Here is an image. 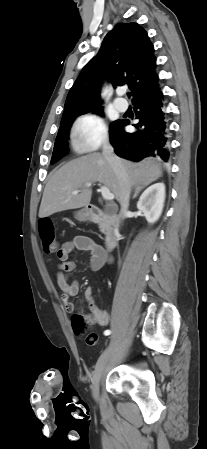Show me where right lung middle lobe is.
Wrapping results in <instances>:
<instances>
[{
    "mask_svg": "<svg viewBox=\"0 0 207 449\" xmlns=\"http://www.w3.org/2000/svg\"><path fill=\"white\" fill-rule=\"evenodd\" d=\"M96 114L103 115L102 109L94 111ZM79 115L71 116L61 120L60 128L56 137L54 150L52 154L51 164L59 161L63 156L67 154L68 135L73 120ZM119 120L113 122L110 125V131L116 126Z\"/></svg>",
    "mask_w": 207,
    "mask_h": 449,
    "instance_id": "dd1d6c3e",
    "label": "right lung middle lobe"
}]
</instances>
